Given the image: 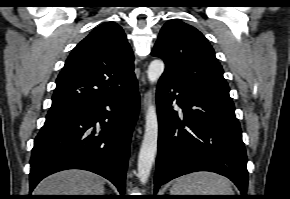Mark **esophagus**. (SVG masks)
I'll return each instance as SVG.
<instances>
[{"mask_svg":"<svg viewBox=\"0 0 290 199\" xmlns=\"http://www.w3.org/2000/svg\"><path fill=\"white\" fill-rule=\"evenodd\" d=\"M145 106H146V99L144 100V103H143V110H145Z\"/></svg>","mask_w":290,"mask_h":199,"instance_id":"34e87169","label":"esophagus"}]
</instances>
